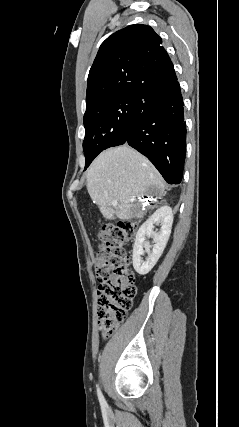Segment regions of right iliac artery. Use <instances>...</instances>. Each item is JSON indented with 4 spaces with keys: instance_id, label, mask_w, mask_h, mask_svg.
<instances>
[{
    "instance_id": "right-iliac-artery-1",
    "label": "right iliac artery",
    "mask_w": 239,
    "mask_h": 427,
    "mask_svg": "<svg viewBox=\"0 0 239 427\" xmlns=\"http://www.w3.org/2000/svg\"><path fill=\"white\" fill-rule=\"evenodd\" d=\"M97 393H98V398H99L100 404L102 406L106 405L105 399H104L99 387L97 388Z\"/></svg>"
}]
</instances>
